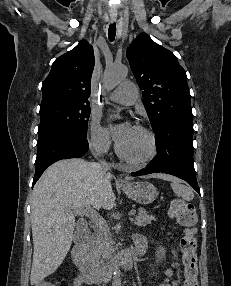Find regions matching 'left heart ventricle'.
Instances as JSON below:
<instances>
[{
	"label": "left heart ventricle",
	"instance_id": "left-heart-ventricle-1",
	"mask_svg": "<svg viewBox=\"0 0 231 286\" xmlns=\"http://www.w3.org/2000/svg\"><path fill=\"white\" fill-rule=\"evenodd\" d=\"M121 150L129 157L139 159L148 154L150 142L148 137L136 129H132L125 140L119 143Z\"/></svg>",
	"mask_w": 231,
	"mask_h": 286
}]
</instances>
